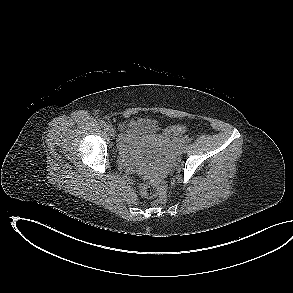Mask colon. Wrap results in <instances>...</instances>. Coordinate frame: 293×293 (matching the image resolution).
I'll use <instances>...</instances> for the list:
<instances>
[{
	"label": "colon",
	"instance_id": "1",
	"mask_svg": "<svg viewBox=\"0 0 293 293\" xmlns=\"http://www.w3.org/2000/svg\"><path fill=\"white\" fill-rule=\"evenodd\" d=\"M185 130L186 128L184 126L178 125L170 128L168 133L172 135H180L184 133ZM141 192L143 196L147 198L156 197L158 203H164L167 198V185L163 181L146 184L142 187Z\"/></svg>",
	"mask_w": 293,
	"mask_h": 293
}]
</instances>
